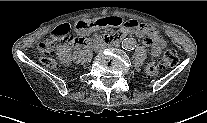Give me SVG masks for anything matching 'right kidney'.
<instances>
[{
  "label": "right kidney",
  "mask_w": 207,
  "mask_h": 123,
  "mask_svg": "<svg viewBox=\"0 0 207 123\" xmlns=\"http://www.w3.org/2000/svg\"><path fill=\"white\" fill-rule=\"evenodd\" d=\"M57 55L61 61L62 64L64 65H69L71 63V56L68 53H65L63 50H58Z\"/></svg>",
  "instance_id": "right-kidney-1"
}]
</instances>
